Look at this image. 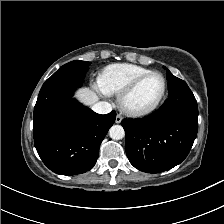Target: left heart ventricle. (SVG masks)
I'll return each instance as SVG.
<instances>
[{
  "mask_svg": "<svg viewBox=\"0 0 224 224\" xmlns=\"http://www.w3.org/2000/svg\"><path fill=\"white\" fill-rule=\"evenodd\" d=\"M163 88L161 77L153 75L145 79L127 98L126 104L131 108H145L153 104Z\"/></svg>",
  "mask_w": 224,
  "mask_h": 224,
  "instance_id": "left-heart-ventricle-1",
  "label": "left heart ventricle"
}]
</instances>
